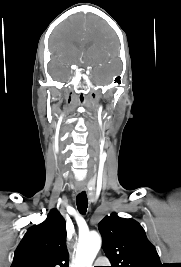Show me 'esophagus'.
Segmentation results:
<instances>
[{
    "label": "esophagus",
    "mask_w": 181,
    "mask_h": 267,
    "mask_svg": "<svg viewBox=\"0 0 181 267\" xmlns=\"http://www.w3.org/2000/svg\"><path fill=\"white\" fill-rule=\"evenodd\" d=\"M77 191H78V192H82V191H84V188H81V187H80V188L77 189Z\"/></svg>",
    "instance_id": "esophagus-1"
}]
</instances>
